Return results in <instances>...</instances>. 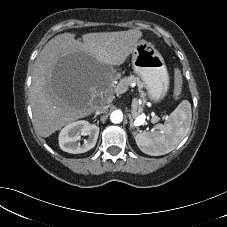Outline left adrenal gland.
<instances>
[{
	"label": "left adrenal gland",
	"mask_w": 227,
	"mask_h": 227,
	"mask_svg": "<svg viewBox=\"0 0 227 227\" xmlns=\"http://www.w3.org/2000/svg\"><path fill=\"white\" fill-rule=\"evenodd\" d=\"M129 120H130V129L134 130L136 128L134 122H133V117L131 114H128Z\"/></svg>",
	"instance_id": "1"
}]
</instances>
